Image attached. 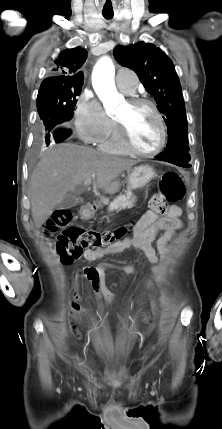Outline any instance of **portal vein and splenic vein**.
Listing matches in <instances>:
<instances>
[{
	"instance_id": "obj_1",
	"label": "portal vein and splenic vein",
	"mask_w": 222,
	"mask_h": 429,
	"mask_svg": "<svg viewBox=\"0 0 222 429\" xmlns=\"http://www.w3.org/2000/svg\"><path fill=\"white\" fill-rule=\"evenodd\" d=\"M91 183V180H86L85 182H84V184L85 185H89Z\"/></svg>"
}]
</instances>
